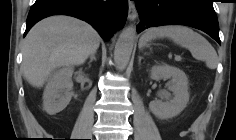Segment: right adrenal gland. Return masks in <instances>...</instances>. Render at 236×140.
I'll return each instance as SVG.
<instances>
[{
    "label": "right adrenal gland",
    "instance_id": "2a0ac1e0",
    "mask_svg": "<svg viewBox=\"0 0 236 140\" xmlns=\"http://www.w3.org/2000/svg\"><path fill=\"white\" fill-rule=\"evenodd\" d=\"M95 54H96V53H93V54L90 55L89 64H90L93 60H96Z\"/></svg>",
    "mask_w": 236,
    "mask_h": 140
}]
</instances>
